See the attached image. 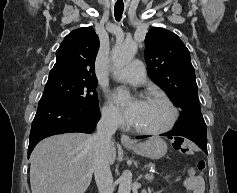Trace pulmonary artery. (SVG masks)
I'll list each match as a JSON object with an SVG mask.
<instances>
[{"label":"pulmonary artery","instance_id":"e3ab8cb5","mask_svg":"<svg viewBox=\"0 0 237 193\" xmlns=\"http://www.w3.org/2000/svg\"><path fill=\"white\" fill-rule=\"evenodd\" d=\"M113 78L133 85H142L146 78L143 63L140 60H134L128 66L116 72Z\"/></svg>","mask_w":237,"mask_h":193}]
</instances>
